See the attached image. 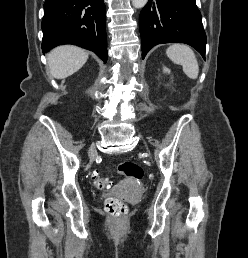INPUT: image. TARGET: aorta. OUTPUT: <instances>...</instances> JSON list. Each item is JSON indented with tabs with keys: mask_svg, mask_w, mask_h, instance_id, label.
Segmentation results:
<instances>
[{
	"mask_svg": "<svg viewBox=\"0 0 248 258\" xmlns=\"http://www.w3.org/2000/svg\"><path fill=\"white\" fill-rule=\"evenodd\" d=\"M147 2L148 0H132V5L135 8H142L146 5Z\"/></svg>",
	"mask_w": 248,
	"mask_h": 258,
	"instance_id": "aorta-1",
	"label": "aorta"
}]
</instances>
